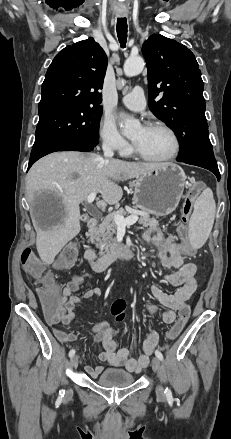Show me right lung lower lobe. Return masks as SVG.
Here are the masks:
<instances>
[{"mask_svg":"<svg viewBox=\"0 0 231 439\" xmlns=\"http://www.w3.org/2000/svg\"><path fill=\"white\" fill-rule=\"evenodd\" d=\"M95 146L86 143H77V142H63L50 144L40 147H35L31 151L30 160L28 164V169L33 165L41 157L56 151H82L89 152L94 149Z\"/></svg>","mask_w":231,"mask_h":439,"instance_id":"98d812e1","label":"right lung lower lobe"}]
</instances>
